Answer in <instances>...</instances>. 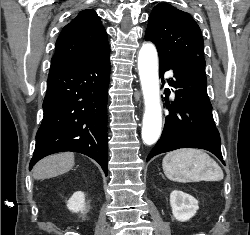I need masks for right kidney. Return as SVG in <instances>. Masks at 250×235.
Listing matches in <instances>:
<instances>
[{
  "instance_id": "right-kidney-1",
  "label": "right kidney",
  "mask_w": 250,
  "mask_h": 235,
  "mask_svg": "<svg viewBox=\"0 0 250 235\" xmlns=\"http://www.w3.org/2000/svg\"><path fill=\"white\" fill-rule=\"evenodd\" d=\"M67 207L72 212H79L85 209V195L81 191L75 192L67 202Z\"/></svg>"
}]
</instances>
